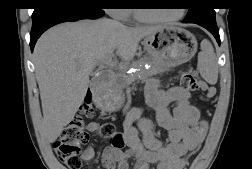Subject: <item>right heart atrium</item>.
<instances>
[{"mask_svg": "<svg viewBox=\"0 0 252 169\" xmlns=\"http://www.w3.org/2000/svg\"><path fill=\"white\" fill-rule=\"evenodd\" d=\"M108 13L117 20L125 21L129 17V11L128 9L123 8H114V9H108Z\"/></svg>", "mask_w": 252, "mask_h": 169, "instance_id": "d8ad5b80", "label": "right heart atrium"}]
</instances>
